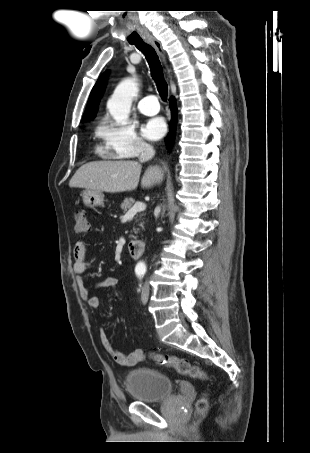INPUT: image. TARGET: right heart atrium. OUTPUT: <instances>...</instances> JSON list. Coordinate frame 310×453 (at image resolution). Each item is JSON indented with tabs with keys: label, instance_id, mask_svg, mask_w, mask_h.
Returning <instances> with one entry per match:
<instances>
[{
	"label": "right heart atrium",
	"instance_id": "obj_1",
	"mask_svg": "<svg viewBox=\"0 0 310 453\" xmlns=\"http://www.w3.org/2000/svg\"><path fill=\"white\" fill-rule=\"evenodd\" d=\"M98 133L104 144V152L110 157H135L149 147L130 123L107 120L102 123Z\"/></svg>",
	"mask_w": 310,
	"mask_h": 453
}]
</instances>
